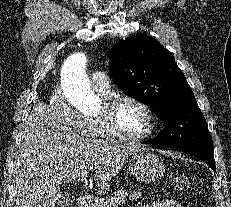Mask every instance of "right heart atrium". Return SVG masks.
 <instances>
[{
	"instance_id": "obj_1",
	"label": "right heart atrium",
	"mask_w": 231,
	"mask_h": 207,
	"mask_svg": "<svg viewBox=\"0 0 231 207\" xmlns=\"http://www.w3.org/2000/svg\"><path fill=\"white\" fill-rule=\"evenodd\" d=\"M50 106L59 119V121L66 126L82 130L83 128V117L72 106L66 101L62 91L55 89L50 96Z\"/></svg>"
}]
</instances>
